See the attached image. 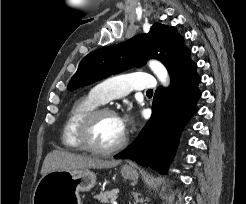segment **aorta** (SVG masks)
<instances>
[{
    "instance_id": "762f6f07",
    "label": "aorta",
    "mask_w": 246,
    "mask_h": 204,
    "mask_svg": "<svg viewBox=\"0 0 246 204\" xmlns=\"http://www.w3.org/2000/svg\"><path fill=\"white\" fill-rule=\"evenodd\" d=\"M148 66L162 83V85L167 86L169 82V76L164 65L157 60H150L148 62Z\"/></svg>"
}]
</instances>
